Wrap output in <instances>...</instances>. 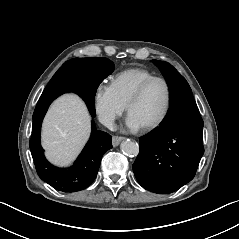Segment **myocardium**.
<instances>
[{
    "instance_id": "1",
    "label": "myocardium",
    "mask_w": 239,
    "mask_h": 239,
    "mask_svg": "<svg viewBox=\"0 0 239 239\" xmlns=\"http://www.w3.org/2000/svg\"><path fill=\"white\" fill-rule=\"evenodd\" d=\"M156 81H160L165 85L166 88V93H167V98H166V104H165V108L162 112V114L160 115V117L155 120L154 122L143 126V129L145 131H151L154 130L158 127H160L165 120L167 119L171 107H172V89H171V85L170 83L164 78V77H160V76H153L147 80H145L132 94V96L130 97L128 103H127V112L130 113L132 107L142 98L143 94L145 93V91L147 90V88Z\"/></svg>"
}]
</instances>
